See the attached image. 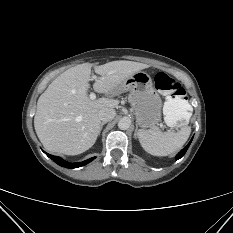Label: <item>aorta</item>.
<instances>
[{"label": "aorta", "instance_id": "762f6f07", "mask_svg": "<svg viewBox=\"0 0 233 233\" xmlns=\"http://www.w3.org/2000/svg\"><path fill=\"white\" fill-rule=\"evenodd\" d=\"M131 126V120L128 117H123L118 122V127L121 130H127Z\"/></svg>", "mask_w": 233, "mask_h": 233}]
</instances>
